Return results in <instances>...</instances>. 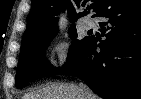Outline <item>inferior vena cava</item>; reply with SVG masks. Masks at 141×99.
I'll return each instance as SVG.
<instances>
[{"label":"inferior vena cava","mask_w":141,"mask_h":99,"mask_svg":"<svg viewBox=\"0 0 141 99\" xmlns=\"http://www.w3.org/2000/svg\"><path fill=\"white\" fill-rule=\"evenodd\" d=\"M79 89L83 93L85 99H92L93 93L86 84L80 82Z\"/></svg>","instance_id":"1"}]
</instances>
